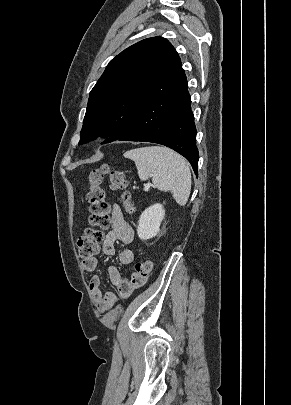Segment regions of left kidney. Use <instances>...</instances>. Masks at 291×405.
Instances as JSON below:
<instances>
[{
  "mask_svg": "<svg viewBox=\"0 0 291 405\" xmlns=\"http://www.w3.org/2000/svg\"><path fill=\"white\" fill-rule=\"evenodd\" d=\"M165 216V210L162 204H154L142 212L138 227L137 234L141 240H148L157 235L160 231V224Z\"/></svg>",
  "mask_w": 291,
  "mask_h": 405,
  "instance_id": "5707ae66",
  "label": "left kidney"
}]
</instances>
